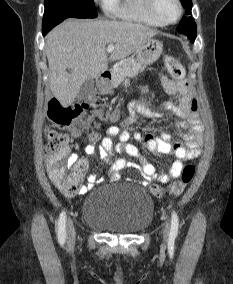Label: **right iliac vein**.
<instances>
[{"instance_id": "63e3f726", "label": "right iliac vein", "mask_w": 233, "mask_h": 284, "mask_svg": "<svg viewBox=\"0 0 233 284\" xmlns=\"http://www.w3.org/2000/svg\"><path fill=\"white\" fill-rule=\"evenodd\" d=\"M75 227H74V224L72 222L71 219L68 220V223H67V239H68V244L70 246H72L75 242Z\"/></svg>"}]
</instances>
